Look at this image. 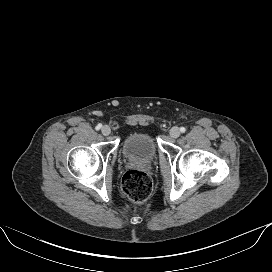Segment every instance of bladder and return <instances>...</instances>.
Returning <instances> with one entry per match:
<instances>
[{
    "mask_svg": "<svg viewBox=\"0 0 272 272\" xmlns=\"http://www.w3.org/2000/svg\"><path fill=\"white\" fill-rule=\"evenodd\" d=\"M157 151V143L148 132L132 133L122 144L124 157L132 161L149 162L156 157Z\"/></svg>",
    "mask_w": 272,
    "mask_h": 272,
    "instance_id": "31cf9c89",
    "label": "bladder"
}]
</instances>
